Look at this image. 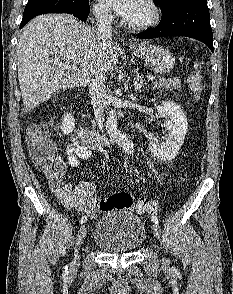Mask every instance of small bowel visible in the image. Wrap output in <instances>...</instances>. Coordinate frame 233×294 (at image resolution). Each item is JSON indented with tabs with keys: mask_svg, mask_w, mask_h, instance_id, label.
<instances>
[{
	"mask_svg": "<svg viewBox=\"0 0 233 294\" xmlns=\"http://www.w3.org/2000/svg\"><path fill=\"white\" fill-rule=\"evenodd\" d=\"M90 146L83 143L76 135L72 138L71 143L65 146L67 161L71 166H78L81 160H87L91 156ZM52 190L58 200L64 206L73 209L84 216L93 217L90 203L92 200L99 199L94 195L95 186L88 181H82L73 186L69 182H53ZM94 210V209H92Z\"/></svg>",
	"mask_w": 233,
	"mask_h": 294,
	"instance_id": "c3829d8e",
	"label": "small bowel"
}]
</instances>
